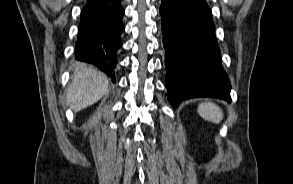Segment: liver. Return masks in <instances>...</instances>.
I'll use <instances>...</instances> for the list:
<instances>
[{"label":"liver","instance_id":"liver-1","mask_svg":"<svg viewBox=\"0 0 293 184\" xmlns=\"http://www.w3.org/2000/svg\"><path fill=\"white\" fill-rule=\"evenodd\" d=\"M108 85L109 80L104 73L92 66L78 64L67 90V105L75 112L80 111L100 100L106 94Z\"/></svg>","mask_w":293,"mask_h":184}]
</instances>
